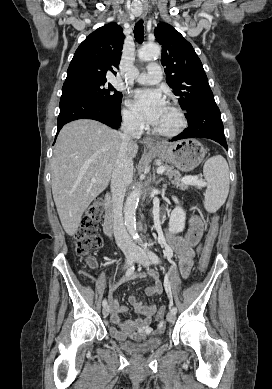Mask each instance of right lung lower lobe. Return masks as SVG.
Instances as JSON below:
<instances>
[{"instance_id":"obj_1","label":"right lung lower lobe","mask_w":272,"mask_h":389,"mask_svg":"<svg viewBox=\"0 0 272 389\" xmlns=\"http://www.w3.org/2000/svg\"><path fill=\"white\" fill-rule=\"evenodd\" d=\"M59 106L57 134L66 123L82 118L100 121L114 129L121 123L120 106H110L90 97L63 96Z\"/></svg>"}]
</instances>
